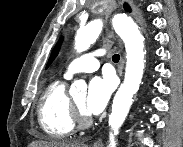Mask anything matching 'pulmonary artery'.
<instances>
[{
	"instance_id": "e3ab8cb5",
	"label": "pulmonary artery",
	"mask_w": 183,
	"mask_h": 147,
	"mask_svg": "<svg viewBox=\"0 0 183 147\" xmlns=\"http://www.w3.org/2000/svg\"><path fill=\"white\" fill-rule=\"evenodd\" d=\"M108 52L106 48L100 50L85 53L77 58H75L68 65L64 76L66 78H71L73 75L81 72H94L99 68L98 57L105 55Z\"/></svg>"
}]
</instances>
